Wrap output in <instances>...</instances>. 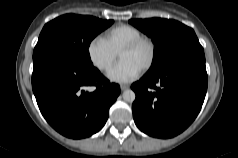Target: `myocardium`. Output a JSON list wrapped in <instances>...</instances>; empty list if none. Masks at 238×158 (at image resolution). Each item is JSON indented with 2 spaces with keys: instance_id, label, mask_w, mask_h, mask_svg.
<instances>
[{
  "instance_id": "obj_1",
  "label": "myocardium",
  "mask_w": 238,
  "mask_h": 158,
  "mask_svg": "<svg viewBox=\"0 0 238 158\" xmlns=\"http://www.w3.org/2000/svg\"><path fill=\"white\" fill-rule=\"evenodd\" d=\"M144 43L149 46L150 54H149V58H148L147 62L144 64V66L141 68V70L147 71L148 69H150L152 67V65L155 61V58H156V45L150 37L140 36V37L130 41L125 46H123V48L119 52V55L122 52L134 50L137 47H139L141 44H144Z\"/></svg>"
}]
</instances>
